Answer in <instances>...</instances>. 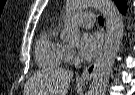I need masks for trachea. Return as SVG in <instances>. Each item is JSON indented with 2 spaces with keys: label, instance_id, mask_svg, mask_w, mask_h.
Listing matches in <instances>:
<instances>
[{
  "label": "trachea",
  "instance_id": "trachea-1",
  "mask_svg": "<svg viewBox=\"0 0 135 95\" xmlns=\"http://www.w3.org/2000/svg\"><path fill=\"white\" fill-rule=\"evenodd\" d=\"M98 22H99V24H101V25L104 24V19H103L102 16H99V17H98Z\"/></svg>",
  "mask_w": 135,
  "mask_h": 95
}]
</instances>
